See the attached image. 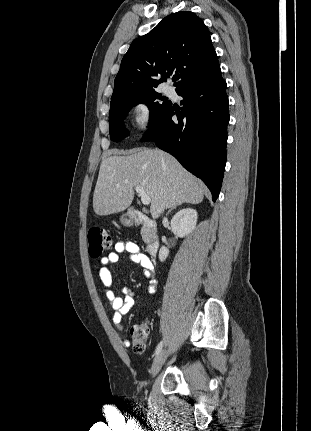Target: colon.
<instances>
[{"label": "colon", "mask_w": 311, "mask_h": 431, "mask_svg": "<svg viewBox=\"0 0 311 431\" xmlns=\"http://www.w3.org/2000/svg\"><path fill=\"white\" fill-rule=\"evenodd\" d=\"M89 255L92 258L100 257L104 252L113 247L111 235L102 228H93L88 234ZM150 333V326L143 322L135 325L131 329V345L136 353H143L147 346Z\"/></svg>", "instance_id": "obj_1"}]
</instances>
